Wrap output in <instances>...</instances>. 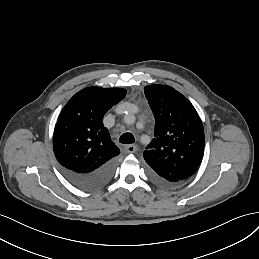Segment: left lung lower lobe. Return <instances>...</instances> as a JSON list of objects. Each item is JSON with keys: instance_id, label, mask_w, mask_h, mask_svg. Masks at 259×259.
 Segmentation results:
<instances>
[{"instance_id": "obj_1", "label": "left lung lower lobe", "mask_w": 259, "mask_h": 259, "mask_svg": "<svg viewBox=\"0 0 259 259\" xmlns=\"http://www.w3.org/2000/svg\"><path fill=\"white\" fill-rule=\"evenodd\" d=\"M150 177H151L156 183H158V184L161 185V186H165V187H175V186H178V185L181 184V183H170V182H163V181H160V180H158L156 177H154L152 174H150Z\"/></svg>"}]
</instances>
